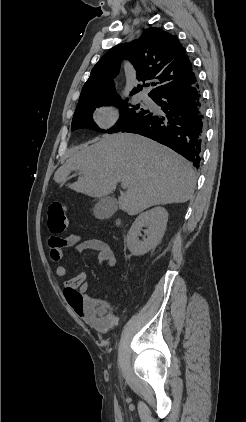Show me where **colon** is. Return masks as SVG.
Segmentation results:
<instances>
[{
	"label": "colon",
	"mask_w": 246,
	"mask_h": 422,
	"mask_svg": "<svg viewBox=\"0 0 246 422\" xmlns=\"http://www.w3.org/2000/svg\"><path fill=\"white\" fill-rule=\"evenodd\" d=\"M67 227L65 206L54 201L48 207V228L54 234L62 233Z\"/></svg>",
	"instance_id": "1"
}]
</instances>
